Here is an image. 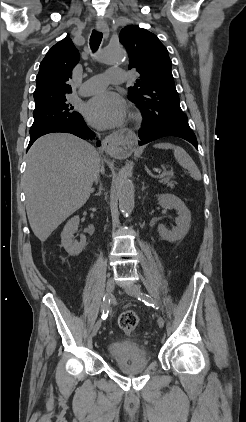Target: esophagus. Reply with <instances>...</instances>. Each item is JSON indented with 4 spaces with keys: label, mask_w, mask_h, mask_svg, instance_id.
<instances>
[{
    "label": "esophagus",
    "mask_w": 246,
    "mask_h": 422,
    "mask_svg": "<svg viewBox=\"0 0 246 422\" xmlns=\"http://www.w3.org/2000/svg\"><path fill=\"white\" fill-rule=\"evenodd\" d=\"M96 30L102 32L105 38L109 36V28L106 24H98L96 26ZM121 144L122 141L117 135H110L102 141V147L104 151L109 155L118 154Z\"/></svg>",
    "instance_id": "34e87169"
}]
</instances>
